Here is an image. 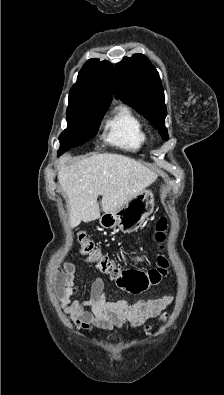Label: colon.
<instances>
[{
    "instance_id": "colon-1",
    "label": "colon",
    "mask_w": 224,
    "mask_h": 395,
    "mask_svg": "<svg viewBox=\"0 0 224 395\" xmlns=\"http://www.w3.org/2000/svg\"><path fill=\"white\" fill-rule=\"evenodd\" d=\"M166 229L167 219L161 217L156 224L155 239L157 242H164ZM76 241L83 256L86 257L89 262L95 264L102 272L117 280L121 287L130 293H142L151 286L158 285L167 275L168 261L164 257H159L157 267L143 272L117 266L84 232L76 234ZM166 319L167 315H163L162 320L165 321ZM148 329H150V327H148Z\"/></svg>"
}]
</instances>
